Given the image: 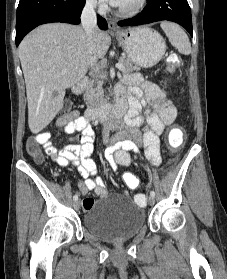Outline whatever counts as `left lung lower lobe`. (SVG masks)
Wrapping results in <instances>:
<instances>
[{"mask_svg": "<svg viewBox=\"0 0 227 279\" xmlns=\"http://www.w3.org/2000/svg\"><path fill=\"white\" fill-rule=\"evenodd\" d=\"M161 20L176 22L193 36L191 9L187 0H147V5L141 13L119 21L118 25L136 26Z\"/></svg>", "mask_w": 227, "mask_h": 279, "instance_id": "0a47b994", "label": "left lung lower lobe"}]
</instances>
